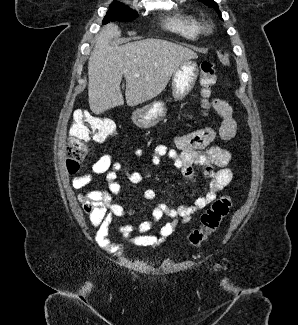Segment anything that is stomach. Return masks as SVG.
Masks as SVG:
<instances>
[{
  "mask_svg": "<svg viewBox=\"0 0 298 325\" xmlns=\"http://www.w3.org/2000/svg\"><path fill=\"white\" fill-rule=\"evenodd\" d=\"M198 74V64L194 60H183L179 64L171 78V94L174 100H183L187 94H190ZM167 110L168 108L163 100H153L150 104L134 110L132 120L141 128H151L165 118Z\"/></svg>",
  "mask_w": 298,
  "mask_h": 325,
  "instance_id": "stomach-1",
  "label": "stomach"
}]
</instances>
